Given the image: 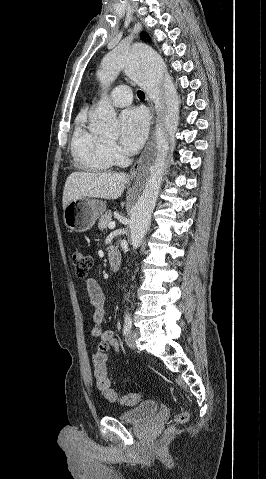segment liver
Wrapping results in <instances>:
<instances>
[{
	"label": "liver",
	"instance_id": "1",
	"mask_svg": "<svg viewBox=\"0 0 266 479\" xmlns=\"http://www.w3.org/2000/svg\"><path fill=\"white\" fill-rule=\"evenodd\" d=\"M126 181L125 173L73 172L65 182L63 209L71 201L82 197L117 199L124 192Z\"/></svg>",
	"mask_w": 266,
	"mask_h": 479
}]
</instances>
